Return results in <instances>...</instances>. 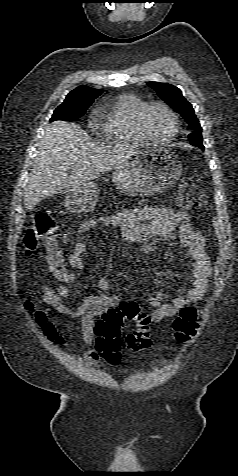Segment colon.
Here are the masks:
<instances>
[{
  "label": "colon",
  "mask_w": 238,
  "mask_h": 476,
  "mask_svg": "<svg viewBox=\"0 0 238 476\" xmlns=\"http://www.w3.org/2000/svg\"><path fill=\"white\" fill-rule=\"evenodd\" d=\"M178 204L187 210H200L207 204L204 191L197 184L183 181L177 196ZM57 224L47 210L35 212L32 222L26 232L24 245L27 254H32L38 248L48 246L52 249L49 254V271L57 280H67L68 276L62 266L59 253L53 249V241ZM37 320L43 326L46 336L56 342H61L52 323L46 321L43 312L37 313ZM126 322H135L136 329L129 333L125 347L133 352H142L151 344L149 325L150 318L143 313L134 302H121L117 307L108 309L96 324V349L101 357L111 364H117L121 357L120 329ZM201 325V311L195 307L182 308L173 321L174 337L183 343L192 339Z\"/></svg>",
  "instance_id": "1"
}]
</instances>
